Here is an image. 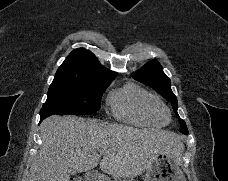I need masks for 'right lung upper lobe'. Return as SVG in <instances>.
Returning <instances> with one entry per match:
<instances>
[{
  "label": "right lung upper lobe",
  "instance_id": "obj_1",
  "mask_svg": "<svg viewBox=\"0 0 228 181\" xmlns=\"http://www.w3.org/2000/svg\"><path fill=\"white\" fill-rule=\"evenodd\" d=\"M116 75V72L104 68L92 52L78 48L72 51L58 68L53 82L78 84L109 81Z\"/></svg>",
  "mask_w": 228,
  "mask_h": 181
}]
</instances>
